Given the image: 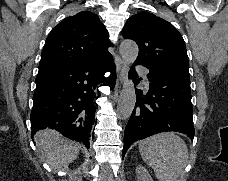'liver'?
<instances>
[{"instance_id": "6515ba94", "label": "liver", "mask_w": 228, "mask_h": 181, "mask_svg": "<svg viewBox=\"0 0 228 181\" xmlns=\"http://www.w3.org/2000/svg\"><path fill=\"white\" fill-rule=\"evenodd\" d=\"M37 151L41 153V161L48 163L52 169L67 167L74 163L79 155L80 145L66 139L53 129H44L34 135Z\"/></svg>"}]
</instances>
